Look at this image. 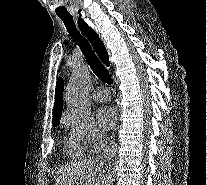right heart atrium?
<instances>
[{
    "label": "right heart atrium",
    "instance_id": "obj_1",
    "mask_svg": "<svg viewBox=\"0 0 207 185\" xmlns=\"http://www.w3.org/2000/svg\"><path fill=\"white\" fill-rule=\"evenodd\" d=\"M62 123L70 128L71 135L88 151L97 152L107 141V134L97 125L92 116L65 112Z\"/></svg>",
    "mask_w": 207,
    "mask_h": 185
}]
</instances>
